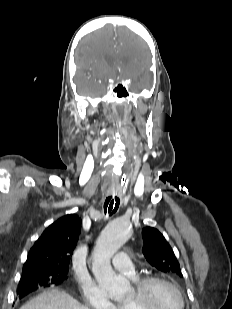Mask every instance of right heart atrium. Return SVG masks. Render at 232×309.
<instances>
[{
	"instance_id": "1",
	"label": "right heart atrium",
	"mask_w": 232,
	"mask_h": 309,
	"mask_svg": "<svg viewBox=\"0 0 232 309\" xmlns=\"http://www.w3.org/2000/svg\"><path fill=\"white\" fill-rule=\"evenodd\" d=\"M82 297L85 304L91 309H114L115 304L109 299L106 292L95 283L81 285Z\"/></svg>"
}]
</instances>
